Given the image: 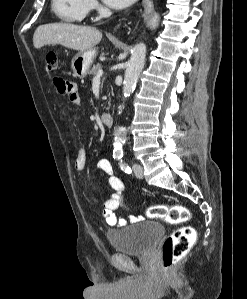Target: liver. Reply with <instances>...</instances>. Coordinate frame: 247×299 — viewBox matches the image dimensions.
Wrapping results in <instances>:
<instances>
[{"label":"liver","instance_id":"liver-1","mask_svg":"<svg viewBox=\"0 0 247 299\" xmlns=\"http://www.w3.org/2000/svg\"><path fill=\"white\" fill-rule=\"evenodd\" d=\"M102 33L95 27L69 23L40 25L33 35V45L40 49L46 45L60 44L76 51H86L97 45Z\"/></svg>","mask_w":247,"mask_h":299}]
</instances>
